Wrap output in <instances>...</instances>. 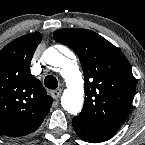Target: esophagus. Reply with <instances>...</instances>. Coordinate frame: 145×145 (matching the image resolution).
<instances>
[{
	"label": "esophagus",
	"instance_id": "esophagus-1",
	"mask_svg": "<svg viewBox=\"0 0 145 145\" xmlns=\"http://www.w3.org/2000/svg\"><path fill=\"white\" fill-rule=\"evenodd\" d=\"M61 94H62V89L61 88L56 89L53 92H51L52 97L56 100L60 98Z\"/></svg>",
	"mask_w": 145,
	"mask_h": 145
}]
</instances>
